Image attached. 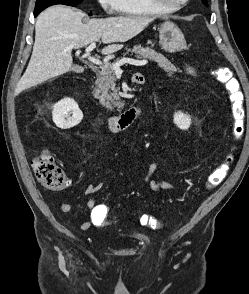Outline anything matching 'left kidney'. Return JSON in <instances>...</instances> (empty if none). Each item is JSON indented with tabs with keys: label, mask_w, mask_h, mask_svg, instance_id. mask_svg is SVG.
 I'll return each instance as SVG.
<instances>
[{
	"label": "left kidney",
	"mask_w": 249,
	"mask_h": 294,
	"mask_svg": "<svg viewBox=\"0 0 249 294\" xmlns=\"http://www.w3.org/2000/svg\"><path fill=\"white\" fill-rule=\"evenodd\" d=\"M174 124L181 130H187L191 125V118L183 112H177L173 116Z\"/></svg>",
	"instance_id": "left-kidney-1"
}]
</instances>
